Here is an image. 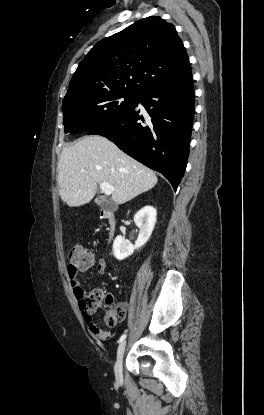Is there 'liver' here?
Returning a JSON list of instances; mask_svg holds the SVG:
<instances>
[{
    "label": "liver",
    "instance_id": "liver-1",
    "mask_svg": "<svg viewBox=\"0 0 264 415\" xmlns=\"http://www.w3.org/2000/svg\"><path fill=\"white\" fill-rule=\"evenodd\" d=\"M157 181L155 172L99 135L85 136L65 147L58 162L59 194L70 207L90 202L103 182L115 188L113 202L124 204L152 189Z\"/></svg>",
    "mask_w": 264,
    "mask_h": 415
}]
</instances>
